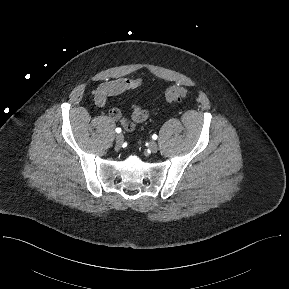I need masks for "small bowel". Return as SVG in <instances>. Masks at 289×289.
<instances>
[{"mask_svg": "<svg viewBox=\"0 0 289 289\" xmlns=\"http://www.w3.org/2000/svg\"><path fill=\"white\" fill-rule=\"evenodd\" d=\"M144 83V79L137 78H120L111 81H106L100 84L94 92V102L98 107H104L107 99L112 96L120 95L126 91L137 89ZM109 117L120 123L126 131H133L136 126L147 120L149 111L139 105L131 106V118L122 116L120 110L112 107L108 112Z\"/></svg>", "mask_w": 289, "mask_h": 289, "instance_id": "1", "label": "small bowel"}]
</instances>
